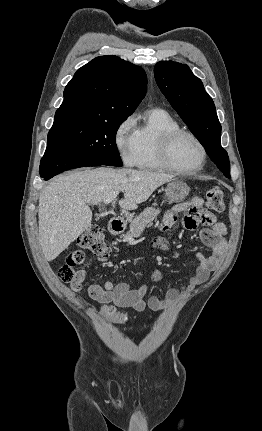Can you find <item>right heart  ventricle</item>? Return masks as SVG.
Listing matches in <instances>:
<instances>
[{"instance_id": "1", "label": "right heart ventricle", "mask_w": 262, "mask_h": 431, "mask_svg": "<svg viewBox=\"0 0 262 431\" xmlns=\"http://www.w3.org/2000/svg\"><path fill=\"white\" fill-rule=\"evenodd\" d=\"M177 128L178 122L165 110L159 108L148 110L141 123L136 125L138 145L136 165L141 169L166 170L159 158L160 138L165 131Z\"/></svg>"}]
</instances>
